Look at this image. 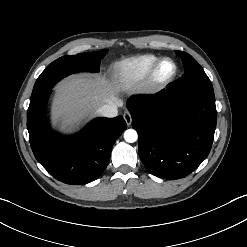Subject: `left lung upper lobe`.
I'll return each instance as SVG.
<instances>
[{"label":"left lung upper lobe","mask_w":247,"mask_h":247,"mask_svg":"<svg viewBox=\"0 0 247 247\" xmlns=\"http://www.w3.org/2000/svg\"><path fill=\"white\" fill-rule=\"evenodd\" d=\"M175 53L182 59L185 70L182 77L172 85L174 90L213 89L203 68L191 55L177 50Z\"/></svg>","instance_id":"obj_1"}]
</instances>
